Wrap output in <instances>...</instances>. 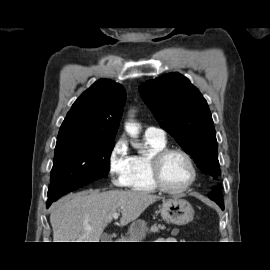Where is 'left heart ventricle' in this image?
<instances>
[{"mask_svg":"<svg viewBox=\"0 0 270 270\" xmlns=\"http://www.w3.org/2000/svg\"><path fill=\"white\" fill-rule=\"evenodd\" d=\"M164 183L170 188H180L191 178V169L187 160L178 153L168 155L161 165Z\"/></svg>","mask_w":270,"mask_h":270,"instance_id":"left-heart-ventricle-1","label":"left heart ventricle"}]
</instances>
